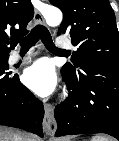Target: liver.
Instances as JSON below:
<instances>
[{"instance_id": "liver-1", "label": "liver", "mask_w": 119, "mask_h": 141, "mask_svg": "<svg viewBox=\"0 0 119 141\" xmlns=\"http://www.w3.org/2000/svg\"><path fill=\"white\" fill-rule=\"evenodd\" d=\"M17 134L11 129L0 127V141H15ZM25 141H35L36 138L32 135H23Z\"/></svg>"}]
</instances>
